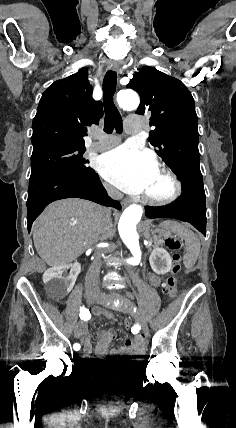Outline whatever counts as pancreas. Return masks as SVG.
<instances>
[{
  "mask_svg": "<svg viewBox=\"0 0 236 428\" xmlns=\"http://www.w3.org/2000/svg\"><path fill=\"white\" fill-rule=\"evenodd\" d=\"M154 240H159V238H157V236H153Z\"/></svg>",
  "mask_w": 236,
  "mask_h": 428,
  "instance_id": "obj_1",
  "label": "pancreas"
}]
</instances>
